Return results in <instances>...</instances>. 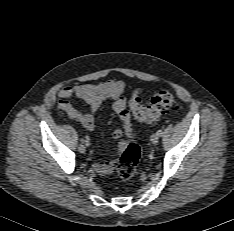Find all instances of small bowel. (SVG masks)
<instances>
[{
  "label": "small bowel",
  "instance_id": "c3829d8e",
  "mask_svg": "<svg viewBox=\"0 0 234 231\" xmlns=\"http://www.w3.org/2000/svg\"><path fill=\"white\" fill-rule=\"evenodd\" d=\"M125 83L121 80H108L95 84H80L75 86H64L60 89L58 96L61 99L58 108L65 112L70 118L75 119L87 130L94 128V114L97 112L105 99H113L112 112L108 120L110 122L120 118L123 123L122 135L125 136L118 144V150L121 152L130 137L132 130L130 117L126 111V100L123 97ZM77 97L88 105V110L81 112L77 110L68 98ZM88 143V142H87ZM115 165V159H111L105 163H95L94 169L101 175L110 174Z\"/></svg>",
  "mask_w": 234,
  "mask_h": 231
}]
</instances>
